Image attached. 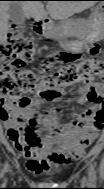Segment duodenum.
Segmentation results:
<instances>
[{"label": "duodenum", "mask_w": 104, "mask_h": 189, "mask_svg": "<svg viewBox=\"0 0 104 189\" xmlns=\"http://www.w3.org/2000/svg\"><path fill=\"white\" fill-rule=\"evenodd\" d=\"M50 21L47 19H40L35 22L34 30L39 35H44L49 29Z\"/></svg>", "instance_id": "410a0bca"}]
</instances>
